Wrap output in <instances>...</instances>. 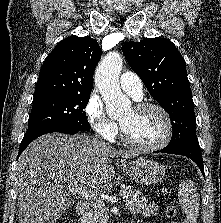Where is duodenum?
Instances as JSON below:
<instances>
[{
	"label": "duodenum",
	"instance_id": "1",
	"mask_svg": "<svg viewBox=\"0 0 221 223\" xmlns=\"http://www.w3.org/2000/svg\"><path fill=\"white\" fill-rule=\"evenodd\" d=\"M88 212V205L85 202H80L77 207V214L80 219Z\"/></svg>",
	"mask_w": 221,
	"mask_h": 223
}]
</instances>
